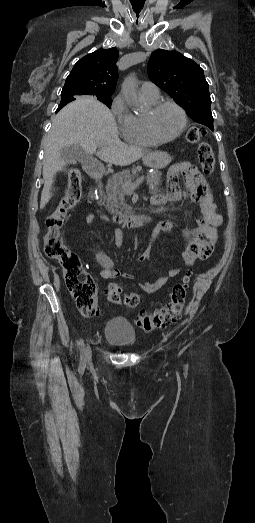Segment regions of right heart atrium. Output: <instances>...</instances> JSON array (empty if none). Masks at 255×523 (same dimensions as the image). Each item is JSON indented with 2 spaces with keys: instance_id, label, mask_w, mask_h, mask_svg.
<instances>
[{
  "instance_id": "d8ad5b80",
  "label": "right heart atrium",
  "mask_w": 255,
  "mask_h": 523,
  "mask_svg": "<svg viewBox=\"0 0 255 523\" xmlns=\"http://www.w3.org/2000/svg\"><path fill=\"white\" fill-rule=\"evenodd\" d=\"M110 110H111L113 116L118 120V127H119V129H121L120 118H122L126 114V109L124 106V97L122 94H118L113 99Z\"/></svg>"
}]
</instances>
